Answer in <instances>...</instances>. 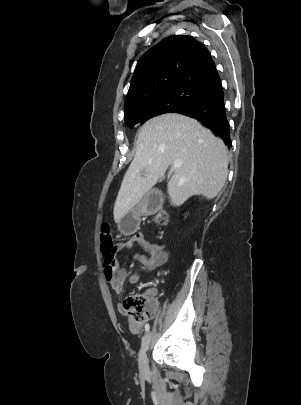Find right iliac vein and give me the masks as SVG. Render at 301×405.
<instances>
[{
	"instance_id": "63e3f726",
	"label": "right iliac vein",
	"mask_w": 301,
	"mask_h": 405,
	"mask_svg": "<svg viewBox=\"0 0 301 405\" xmlns=\"http://www.w3.org/2000/svg\"><path fill=\"white\" fill-rule=\"evenodd\" d=\"M152 339V333L148 332L142 340L141 349L139 351V370L142 374H146L148 372V358H147V351L150 346V342Z\"/></svg>"
}]
</instances>
